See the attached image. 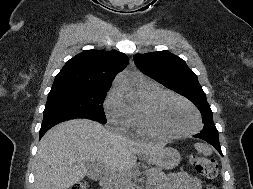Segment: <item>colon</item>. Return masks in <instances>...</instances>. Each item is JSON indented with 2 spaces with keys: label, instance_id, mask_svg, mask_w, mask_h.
Returning a JSON list of instances; mask_svg holds the SVG:
<instances>
[{
  "label": "colon",
  "instance_id": "1",
  "mask_svg": "<svg viewBox=\"0 0 253 189\" xmlns=\"http://www.w3.org/2000/svg\"><path fill=\"white\" fill-rule=\"evenodd\" d=\"M191 163L198 174L204 177L211 183L207 186V189H216L213 182L218 177V166L217 163L209 158L203 156H193ZM70 189H88V184L84 181L78 182L70 187Z\"/></svg>",
  "mask_w": 253,
  "mask_h": 189
}]
</instances>
